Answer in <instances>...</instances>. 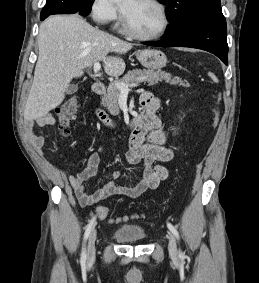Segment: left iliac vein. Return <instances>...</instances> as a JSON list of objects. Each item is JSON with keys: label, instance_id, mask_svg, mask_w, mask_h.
Returning a JSON list of instances; mask_svg holds the SVG:
<instances>
[{"label": "left iliac vein", "instance_id": "obj_1", "mask_svg": "<svg viewBox=\"0 0 259 283\" xmlns=\"http://www.w3.org/2000/svg\"><path fill=\"white\" fill-rule=\"evenodd\" d=\"M169 240V252L172 256L176 257L178 255L177 242L174 235L171 232H168Z\"/></svg>", "mask_w": 259, "mask_h": 283}]
</instances>
